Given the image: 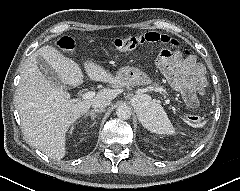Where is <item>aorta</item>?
<instances>
[{
	"label": "aorta",
	"instance_id": "aorta-1",
	"mask_svg": "<svg viewBox=\"0 0 240 191\" xmlns=\"http://www.w3.org/2000/svg\"><path fill=\"white\" fill-rule=\"evenodd\" d=\"M138 100L143 101V105L147 107L150 103L147 99H145V96L139 97ZM132 111L131 108L125 104L120 105L116 109V115L118 118L127 120L131 117Z\"/></svg>",
	"mask_w": 240,
	"mask_h": 191
}]
</instances>
